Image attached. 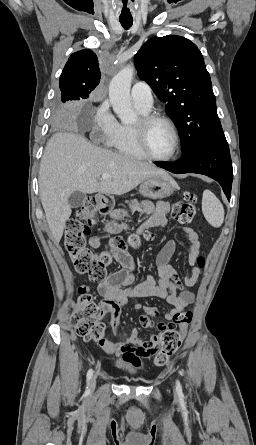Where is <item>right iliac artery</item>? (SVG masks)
Segmentation results:
<instances>
[{
	"instance_id": "right-iliac-artery-1",
	"label": "right iliac artery",
	"mask_w": 256,
	"mask_h": 445,
	"mask_svg": "<svg viewBox=\"0 0 256 445\" xmlns=\"http://www.w3.org/2000/svg\"><path fill=\"white\" fill-rule=\"evenodd\" d=\"M92 376H93V370L89 369L88 372H87V390H86V393H89V390H90L89 386H90V382L92 380Z\"/></svg>"
}]
</instances>
